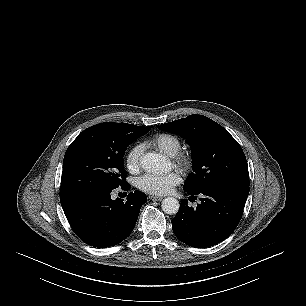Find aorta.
Returning a JSON list of instances; mask_svg holds the SVG:
<instances>
[{
	"label": "aorta",
	"mask_w": 306,
	"mask_h": 306,
	"mask_svg": "<svg viewBox=\"0 0 306 306\" xmlns=\"http://www.w3.org/2000/svg\"><path fill=\"white\" fill-rule=\"evenodd\" d=\"M141 166L147 172L156 173L165 168L166 161L161 155L146 154L141 158ZM161 207L166 214H176L179 210V202L174 197H167L163 199Z\"/></svg>",
	"instance_id": "762f6f07"
}]
</instances>
